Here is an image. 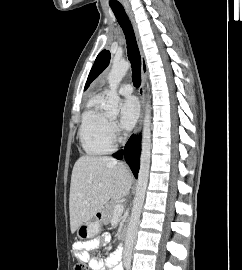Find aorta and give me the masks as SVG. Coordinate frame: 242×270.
<instances>
[{"mask_svg":"<svg viewBox=\"0 0 242 270\" xmlns=\"http://www.w3.org/2000/svg\"><path fill=\"white\" fill-rule=\"evenodd\" d=\"M130 63L127 61L115 62L108 75L109 91L107 93V101L103 105V109L110 115H117L119 112L118 105L120 97L117 88L126 75ZM151 155V114L150 107L147 103L145 118L143 121L142 134V151L140 156V169L138 173V183L136 187V196L134 198L131 218L128 224V230L125 239L124 257L130 259L134 241L137 235L139 219L145 199V193L148 184L149 168Z\"/></svg>","mask_w":242,"mask_h":270,"instance_id":"1","label":"aorta"}]
</instances>
